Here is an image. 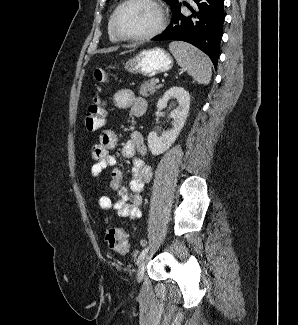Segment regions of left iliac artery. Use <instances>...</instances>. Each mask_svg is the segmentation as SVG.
<instances>
[{
	"mask_svg": "<svg viewBox=\"0 0 298 325\" xmlns=\"http://www.w3.org/2000/svg\"><path fill=\"white\" fill-rule=\"evenodd\" d=\"M148 247L144 248L142 250V252L139 254L138 258H137V261H136V264L138 265L139 263H141V261L144 259L146 253L148 252Z\"/></svg>",
	"mask_w": 298,
	"mask_h": 325,
	"instance_id": "1",
	"label": "left iliac artery"
}]
</instances>
